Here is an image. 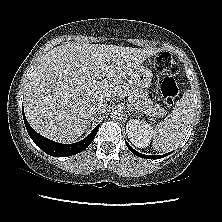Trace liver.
<instances>
[{"mask_svg": "<svg viewBox=\"0 0 222 222\" xmlns=\"http://www.w3.org/2000/svg\"><path fill=\"white\" fill-rule=\"evenodd\" d=\"M158 52L89 43L53 48L40 58L26 85L29 124L53 141H76L91 124L93 106L121 94L132 73Z\"/></svg>", "mask_w": 222, "mask_h": 222, "instance_id": "6515ba94", "label": "liver"}]
</instances>
